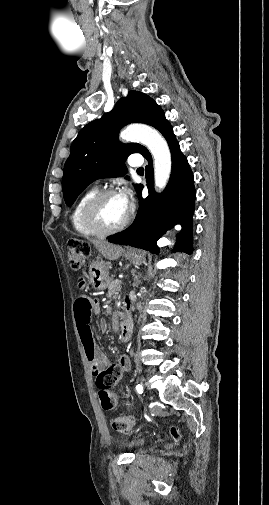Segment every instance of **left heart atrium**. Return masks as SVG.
Returning <instances> with one entry per match:
<instances>
[{
  "label": "left heart atrium",
  "instance_id": "39dd6f15",
  "mask_svg": "<svg viewBox=\"0 0 269 505\" xmlns=\"http://www.w3.org/2000/svg\"><path fill=\"white\" fill-rule=\"evenodd\" d=\"M123 208L128 212L132 206L133 200L130 190L127 187L122 188L117 194Z\"/></svg>",
  "mask_w": 269,
  "mask_h": 505
}]
</instances>
